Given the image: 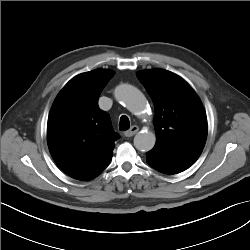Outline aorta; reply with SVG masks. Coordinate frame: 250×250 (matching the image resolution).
I'll return each mask as SVG.
<instances>
[{
    "label": "aorta",
    "mask_w": 250,
    "mask_h": 250,
    "mask_svg": "<svg viewBox=\"0 0 250 250\" xmlns=\"http://www.w3.org/2000/svg\"><path fill=\"white\" fill-rule=\"evenodd\" d=\"M115 98L123 103L132 113L142 115L146 109L144 95L136 87L129 84H121L114 91ZM156 142V136L151 131H141L134 137V146L142 152L150 151Z\"/></svg>",
    "instance_id": "1"
}]
</instances>
